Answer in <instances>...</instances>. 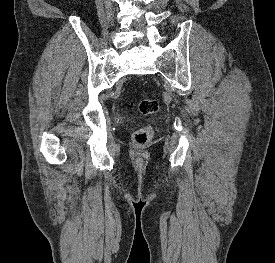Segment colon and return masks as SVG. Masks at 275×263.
I'll list each match as a JSON object with an SVG mask.
<instances>
[{
	"instance_id": "colon-1",
	"label": "colon",
	"mask_w": 275,
	"mask_h": 263,
	"mask_svg": "<svg viewBox=\"0 0 275 263\" xmlns=\"http://www.w3.org/2000/svg\"><path fill=\"white\" fill-rule=\"evenodd\" d=\"M158 104L154 99H143L138 104L139 112L143 115H151L156 112ZM153 128L144 126L137 129L133 134V142L137 146H146L153 138Z\"/></svg>"
}]
</instances>
